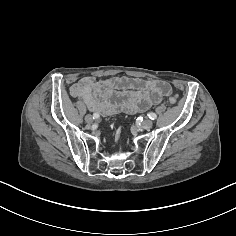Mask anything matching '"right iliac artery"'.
<instances>
[{
	"mask_svg": "<svg viewBox=\"0 0 236 236\" xmlns=\"http://www.w3.org/2000/svg\"><path fill=\"white\" fill-rule=\"evenodd\" d=\"M99 118V114L98 113H94L93 114V119H98Z\"/></svg>",
	"mask_w": 236,
	"mask_h": 236,
	"instance_id": "right-iliac-artery-1",
	"label": "right iliac artery"
}]
</instances>
